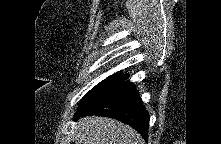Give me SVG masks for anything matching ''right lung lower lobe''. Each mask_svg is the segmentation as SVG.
<instances>
[{
	"instance_id": "right-lung-lower-lobe-1",
	"label": "right lung lower lobe",
	"mask_w": 221,
	"mask_h": 144,
	"mask_svg": "<svg viewBox=\"0 0 221 144\" xmlns=\"http://www.w3.org/2000/svg\"><path fill=\"white\" fill-rule=\"evenodd\" d=\"M90 115L115 118L137 130L141 136L148 139L149 114L130 82L123 81L114 89L108 91L88 108L75 114L74 119Z\"/></svg>"
}]
</instances>
